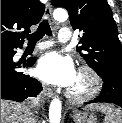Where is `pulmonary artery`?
<instances>
[{
    "label": "pulmonary artery",
    "instance_id": "e3ab8cb5",
    "mask_svg": "<svg viewBox=\"0 0 122 123\" xmlns=\"http://www.w3.org/2000/svg\"><path fill=\"white\" fill-rule=\"evenodd\" d=\"M71 40V31L69 28H61L58 32V41L60 43H67ZM52 46V43H42L38 46L39 49H47Z\"/></svg>",
    "mask_w": 122,
    "mask_h": 123
}]
</instances>
